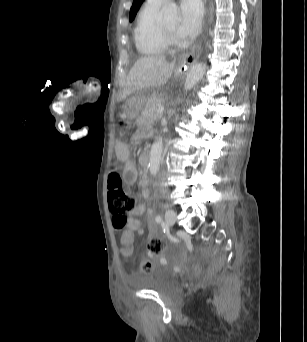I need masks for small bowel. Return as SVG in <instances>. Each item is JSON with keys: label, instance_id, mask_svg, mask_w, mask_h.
Masks as SVG:
<instances>
[{"label": "small bowel", "instance_id": "obj_1", "mask_svg": "<svg viewBox=\"0 0 307 342\" xmlns=\"http://www.w3.org/2000/svg\"><path fill=\"white\" fill-rule=\"evenodd\" d=\"M121 157L125 160V167L123 170V177L128 185H134L137 181L138 171L134 163L129 159V150L127 148H123L121 150ZM147 175L143 176L142 181V197H148V189L146 187L147 183ZM146 211V204L139 203L135 206L134 210L132 211L131 217L129 219L128 225H135V232H144L141 222L138 220V217L143 215ZM120 240H127V239H120Z\"/></svg>", "mask_w": 307, "mask_h": 342}]
</instances>
